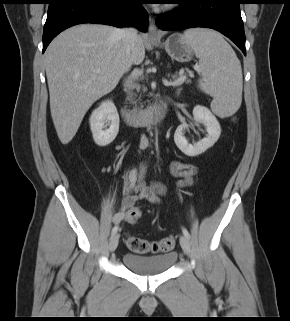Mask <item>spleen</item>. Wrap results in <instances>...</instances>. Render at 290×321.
Returning a JSON list of instances; mask_svg holds the SVG:
<instances>
[{"label":"spleen","instance_id":"obj_1","mask_svg":"<svg viewBox=\"0 0 290 321\" xmlns=\"http://www.w3.org/2000/svg\"><path fill=\"white\" fill-rule=\"evenodd\" d=\"M182 40L199 58L202 76L199 87L213 97L212 111L219 117L233 115L242 102L243 77L232 47L216 31L195 28L185 31Z\"/></svg>","mask_w":290,"mask_h":321}]
</instances>
